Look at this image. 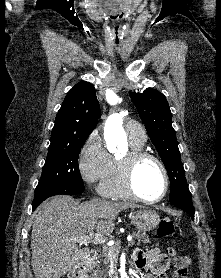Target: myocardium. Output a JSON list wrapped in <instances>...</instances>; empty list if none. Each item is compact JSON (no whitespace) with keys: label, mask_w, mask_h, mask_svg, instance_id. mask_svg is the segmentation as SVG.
<instances>
[{"label":"myocardium","mask_w":221,"mask_h":278,"mask_svg":"<svg viewBox=\"0 0 221 278\" xmlns=\"http://www.w3.org/2000/svg\"><path fill=\"white\" fill-rule=\"evenodd\" d=\"M144 160H152L154 161L160 168L163 177H164V189L162 194L155 198V199H149L146 197H143L138 190L136 189L135 183H134V172L138 164ZM118 168H119V174H120V180L121 183L126 190V192L130 195L131 198L136 199L138 201L154 204L162 201L168 191L170 186V179L169 174L167 171V168L163 161L156 156L153 153H150L145 150H133L131 149L128 151L125 156L117 159Z\"/></svg>","instance_id":"obj_1"}]
</instances>
